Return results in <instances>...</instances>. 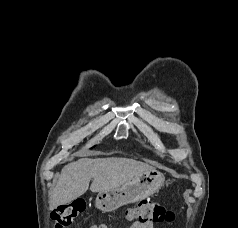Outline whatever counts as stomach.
Segmentation results:
<instances>
[{"label": "stomach", "instance_id": "obj_1", "mask_svg": "<svg viewBox=\"0 0 238 228\" xmlns=\"http://www.w3.org/2000/svg\"><path fill=\"white\" fill-rule=\"evenodd\" d=\"M165 178L159 171H146L119 188L99 192L96 197V207L104 212L145 199L158 192L164 186Z\"/></svg>", "mask_w": 238, "mask_h": 228}]
</instances>
